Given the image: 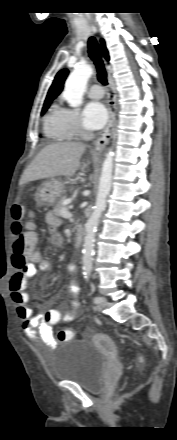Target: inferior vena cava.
<instances>
[{"label":"inferior vena cava","mask_w":177,"mask_h":440,"mask_svg":"<svg viewBox=\"0 0 177 440\" xmlns=\"http://www.w3.org/2000/svg\"><path fill=\"white\" fill-rule=\"evenodd\" d=\"M93 138H94V134L92 132H84L83 133L84 140H91Z\"/></svg>","instance_id":"1"}]
</instances>
